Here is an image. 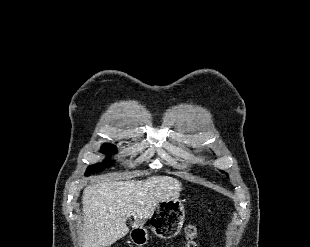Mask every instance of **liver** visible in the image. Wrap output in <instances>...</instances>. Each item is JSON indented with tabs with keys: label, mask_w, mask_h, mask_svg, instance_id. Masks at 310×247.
Returning a JSON list of instances; mask_svg holds the SVG:
<instances>
[{
	"label": "liver",
	"mask_w": 310,
	"mask_h": 247,
	"mask_svg": "<svg viewBox=\"0 0 310 247\" xmlns=\"http://www.w3.org/2000/svg\"><path fill=\"white\" fill-rule=\"evenodd\" d=\"M182 190L179 180L169 176H152L146 180H101L83 191V247H105L124 237L129 228L144 224L155 207Z\"/></svg>",
	"instance_id": "6515ba94"
}]
</instances>
